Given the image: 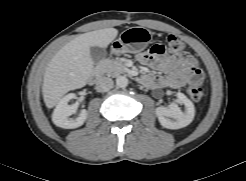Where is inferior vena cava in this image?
<instances>
[{"mask_svg":"<svg viewBox=\"0 0 246 181\" xmlns=\"http://www.w3.org/2000/svg\"><path fill=\"white\" fill-rule=\"evenodd\" d=\"M113 80L109 77H101L96 82V90L98 92H105L113 87Z\"/></svg>","mask_w":246,"mask_h":181,"instance_id":"inferior-vena-cava-1","label":"inferior vena cava"}]
</instances>
